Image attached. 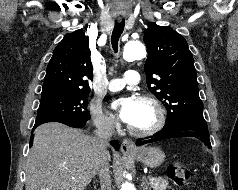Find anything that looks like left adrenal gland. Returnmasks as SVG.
Returning a JSON list of instances; mask_svg holds the SVG:
<instances>
[{
	"label": "left adrenal gland",
	"instance_id": "a2214340",
	"mask_svg": "<svg viewBox=\"0 0 238 190\" xmlns=\"http://www.w3.org/2000/svg\"><path fill=\"white\" fill-rule=\"evenodd\" d=\"M148 186H149V183H148L146 177L144 176L143 179H142L143 190H148Z\"/></svg>",
	"mask_w": 238,
	"mask_h": 190
}]
</instances>
